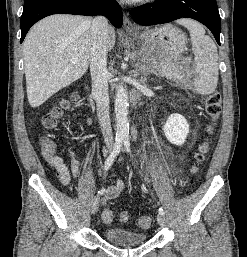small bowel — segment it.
Returning a JSON list of instances; mask_svg holds the SVG:
<instances>
[{"mask_svg": "<svg viewBox=\"0 0 247 257\" xmlns=\"http://www.w3.org/2000/svg\"><path fill=\"white\" fill-rule=\"evenodd\" d=\"M66 152L70 157V167H68L62 160L61 157L55 155L51 158H47L48 163L57 171V176L61 184L68 185L70 183L71 174L74 177H78L79 170V161L77 159L76 153L71 146H65ZM105 189V188H104ZM125 189L124 182L118 180L114 185L107 187L104 192L103 202L106 203L109 200H112L118 197Z\"/></svg>", "mask_w": 247, "mask_h": 257, "instance_id": "small-bowel-1", "label": "small bowel"}]
</instances>
